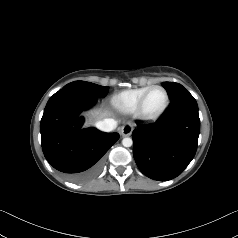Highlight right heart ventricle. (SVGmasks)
<instances>
[{"label": "right heart ventricle", "instance_id": "right-heart-ventricle-1", "mask_svg": "<svg viewBox=\"0 0 238 238\" xmlns=\"http://www.w3.org/2000/svg\"><path fill=\"white\" fill-rule=\"evenodd\" d=\"M150 86H143L134 89L122 91L112 98V105L118 111L123 113L135 112L138 102L142 95Z\"/></svg>", "mask_w": 238, "mask_h": 238}]
</instances>
